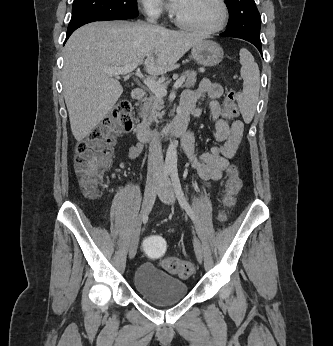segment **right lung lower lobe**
Listing matches in <instances>:
<instances>
[{"instance_id": "obj_1", "label": "right lung lower lobe", "mask_w": 333, "mask_h": 346, "mask_svg": "<svg viewBox=\"0 0 333 346\" xmlns=\"http://www.w3.org/2000/svg\"><path fill=\"white\" fill-rule=\"evenodd\" d=\"M95 21H106V20H95V19H93V20H88V21H86V22H83V23L79 24L78 26H76V27L73 28V29L67 30V36H66L65 42L67 41V39L70 37V35H71L77 28L81 27V26L84 25V24H87V23H90V22H95Z\"/></svg>"}]
</instances>
